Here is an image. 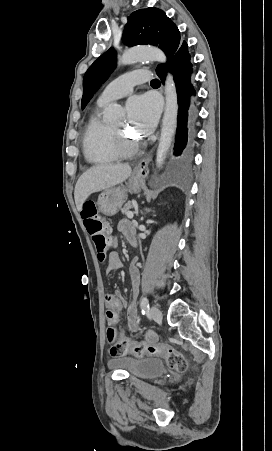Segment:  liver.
Wrapping results in <instances>:
<instances>
[{
	"mask_svg": "<svg viewBox=\"0 0 272 451\" xmlns=\"http://www.w3.org/2000/svg\"><path fill=\"white\" fill-rule=\"evenodd\" d=\"M131 172L129 164H103L86 170L75 186L74 198L78 212H82L83 204L91 194L121 184Z\"/></svg>",
	"mask_w": 272,
	"mask_h": 451,
	"instance_id": "liver-1",
	"label": "liver"
}]
</instances>
